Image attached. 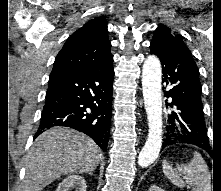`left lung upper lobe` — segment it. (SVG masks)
I'll return each mask as SVG.
<instances>
[{"instance_id": "5c2ea615", "label": "left lung upper lobe", "mask_w": 221, "mask_h": 191, "mask_svg": "<svg viewBox=\"0 0 221 191\" xmlns=\"http://www.w3.org/2000/svg\"><path fill=\"white\" fill-rule=\"evenodd\" d=\"M181 39L180 37L175 36L172 32L171 29L168 28L167 26L160 24L154 34L153 40L151 43H159V44H171L176 40ZM209 139L207 136L206 142L204 144L208 145ZM210 146V144H209Z\"/></svg>"}]
</instances>
